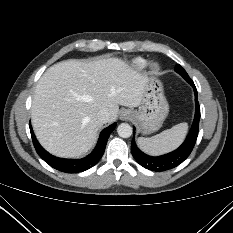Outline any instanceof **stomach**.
<instances>
[{
	"label": "stomach",
	"mask_w": 233,
	"mask_h": 233,
	"mask_svg": "<svg viewBox=\"0 0 233 233\" xmlns=\"http://www.w3.org/2000/svg\"><path fill=\"white\" fill-rule=\"evenodd\" d=\"M169 106L159 80L148 78L142 101L134 111V121L143 134L157 131L167 117Z\"/></svg>",
	"instance_id": "stomach-1"
}]
</instances>
